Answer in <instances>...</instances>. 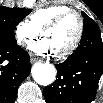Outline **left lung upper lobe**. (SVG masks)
Returning <instances> with one entry per match:
<instances>
[{
    "mask_svg": "<svg viewBox=\"0 0 103 103\" xmlns=\"http://www.w3.org/2000/svg\"><path fill=\"white\" fill-rule=\"evenodd\" d=\"M82 15L84 17L83 31L98 27L97 24L84 12H82Z\"/></svg>",
    "mask_w": 103,
    "mask_h": 103,
    "instance_id": "1",
    "label": "left lung upper lobe"
}]
</instances>
